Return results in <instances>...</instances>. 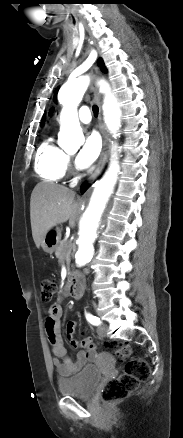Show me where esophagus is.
<instances>
[{
  "mask_svg": "<svg viewBox=\"0 0 183 438\" xmlns=\"http://www.w3.org/2000/svg\"><path fill=\"white\" fill-rule=\"evenodd\" d=\"M98 74H99V70L97 66H94L91 70V90L94 96V99L99 107V116H98V124H99V130L102 136V150H101V154L96 166V169L91 173L88 181H92L94 180L102 171L106 158H107V134L105 132V128H104V124H103V119H102V109H101V96L99 93V87L97 84V80H98Z\"/></svg>",
  "mask_w": 183,
  "mask_h": 438,
  "instance_id": "1",
  "label": "esophagus"
}]
</instances>
